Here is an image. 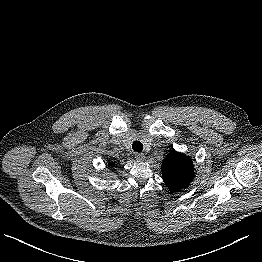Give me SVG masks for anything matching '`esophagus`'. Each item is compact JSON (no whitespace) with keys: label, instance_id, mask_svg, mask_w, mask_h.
Segmentation results:
<instances>
[{"label":"esophagus","instance_id":"34e87169","mask_svg":"<svg viewBox=\"0 0 262 262\" xmlns=\"http://www.w3.org/2000/svg\"><path fill=\"white\" fill-rule=\"evenodd\" d=\"M135 159L137 161H143L145 159V155L143 153H135Z\"/></svg>","mask_w":262,"mask_h":262}]
</instances>
